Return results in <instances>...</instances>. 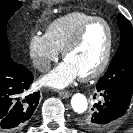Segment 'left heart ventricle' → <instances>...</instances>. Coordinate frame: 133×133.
Returning a JSON list of instances; mask_svg holds the SVG:
<instances>
[{
	"mask_svg": "<svg viewBox=\"0 0 133 133\" xmlns=\"http://www.w3.org/2000/svg\"><path fill=\"white\" fill-rule=\"evenodd\" d=\"M108 32L101 22L92 24L85 32L79 45L65 58L82 76L92 72L100 64L107 47Z\"/></svg>",
	"mask_w": 133,
	"mask_h": 133,
	"instance_id": "left-heart-ventricle-1",
	"label": "left heart ventricle"
}]
</instances>
